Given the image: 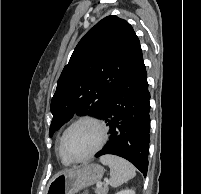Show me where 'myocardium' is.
I'll list each match as a JSON object with an SVG mask.
<instances>
[{
    "label": "myocardium",
    "mask_w": 201,
    "mask_h": 194,
    "mask_svg": "<svg viewBox=\"0 0 201 194\" xmlns=\"http://www.w3.org/2000/svg\"><path fill=\"white\" fill-rule=\"evenodd\" d=\"M92 123L95 126H97V128L99 129L100 132V140L99 143L97 144V146L87 155L80 157V158H71L68 157L64 151H63V143H64V139L67 135V133L76 125L80 124V123ZM108 139V129L107 126L105 124V122L95 116H91V115H85V116H81L77 119H75L74 121H72L63 131L60 140H59V145H58V150L60 155L68 162L70 163H80V162H84L86 160H89L90 158H92L94 155H96L105 145V143L107 142Z\"/></svg>",
    "instance_id": "f54148a6"
}]
</instances>
